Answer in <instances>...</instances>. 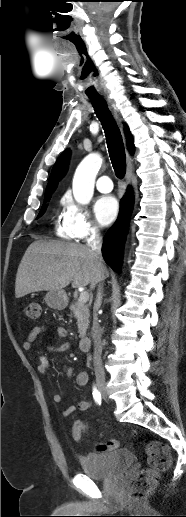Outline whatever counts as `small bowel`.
Wrapping results in <instances>:
<instances>
[{"instance_id":"small-bowel-1","label":"small bowel","mask_w":186,"mask_h":517,"mask_svg":"<svg viewBox=\"0 0 186 517\" xmlns=\"http://www.w3.org/2000/svg\"><path fill=\"white\" fill-rule=\"evenodd\" d=\"M46 329H47V327L45 325H41V326L35 327L28 334L26 339L23 341V344H22L23 349L24 350H29L32 347V344L36 340V338L40 334L45 332ZM66 335H67V332H66V330L64 328H62V327L56 328V336H57L58 339L64 338ZM69 349H70V344L68 342H60V341L57 342L55 345H52V346L48 347V350L50 352H52V353H61V352L68 351ZM37 361H38V365H37L38 371L41 372V373H45L49 369V361H48V359L45 356H39L37 358ZM63 370L65 371V373H66V375L68 377H71L73 375L72 368H70L68 366H65L63 368ZM75 381H76V384L78 386H85L88 383V381H89L88 373L86 371L79 372L76 375ZM61 400H62L61 394H59V393L53 394V401L55 403H59V402H61ZM90 406H91V402L90 401H88V400H80V401H78L76 403V405L69 406L63 412V414L65 416H70V415L74 414L76 411L84 412V411H87L90 408ZM76 425H81L82 426V428L80 430V434L82 435V433L85 432V430L87 428V425L85 423H83V422H80V421L75 422L74 427Z\"/></svg>"}]
</instances>
